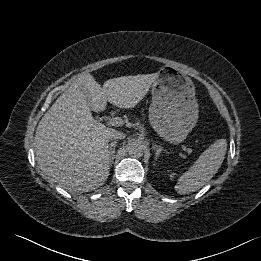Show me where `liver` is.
<instances>
[{"label":"liver","mask_w":261,"mask_h":261,"mask_svg":"<svg viewBox=\"0 0 261 261\" xmlns=\"http://www.w3.org/2000/svg\"><path fill=\"white\" fill-rule=\"evenodd\" d=\"M158 73L109 79L101 87L89 73L79 74L39 122L36 159L44 177L64 189L88 192L109 176V133L91 113L107 102L132 108L147 94Z\"/></svg>","instance_id":"obj_1"}]
</instances>
